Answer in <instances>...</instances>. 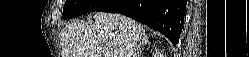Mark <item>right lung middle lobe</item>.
<instances>
[{"label": "right lung middle lobe", "instance_id": "1", "mask_svg": "<svg viewBox=\"0 0 249 57\" xmlns=\"http://www.w3.org/2000/svg\"><path fill=\"white\" fill-rule=\"evenodd\" d=\"M109 0H67L63 7L62 18L69 19L82 14L96 11Z\"/></svg>", "mask_w": 249, "mask_h": 57}]
</instances>
